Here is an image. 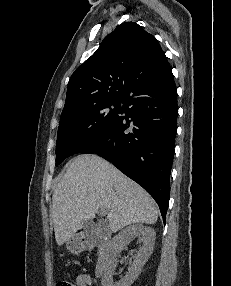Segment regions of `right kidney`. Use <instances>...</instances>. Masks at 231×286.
<instances>
[{
    "mask_svg": "<svg viewBox=\"0 0 231 286\" xmlns=\"http://www.w3.org/2000/svg\"><path fill=\"white\" fill-rule=\"evenodd\" d=\"M134 237H138L143 246L134 256V261L129 272L120 281L115 282L113 274L117 267L116 257L122 248ZM155 238L156 233L154 229L142 224L131 225L116 235L110 242V253L102 277V286H131L152 254Z\"/></svg>",
    "mask_w": 231,
    "mask_h": 286,
    "instance_id": "right-kidney-1",
    "label": "right kidney"
}]
</instances>
